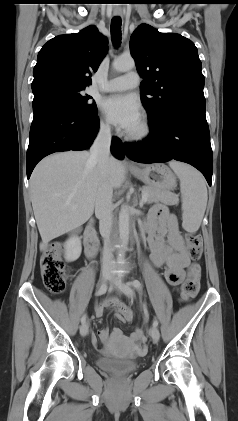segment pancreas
Wrapping results in <instances>:
<instances>
[{
  "label": "pancreas",
  "mask_w": 238,
  "mask_h": 421,
  "mask_svg": "<svg viewBox=\"0 0 238 421\" xmlns=\"http://www.w3.org/2000/svg\"><path fill=\"white\" fill-rule=\"evenodd\" d=\"M143 192H146L148 194V197H147L148 204H151L154 202H163L168 205L176 204L174 202L175 197L167 191H163L158 188L146 186L142 189V193Z\"/></svg>",
  "instance_id": "1"
}]
</instances>
